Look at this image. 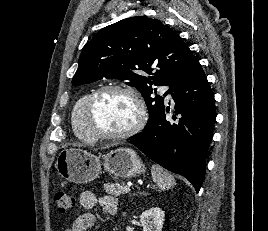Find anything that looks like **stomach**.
I'll list each match as a JSON object with an SVG mask.
<instances>
[{"instance_id": "obj_1", "label": "stomach", "mask_w": 268, "mask_h": 231, "mask_svg": "<svg viewBox=\"0 0 268 231\" xmlns=\"http://www.w3.org/2000/svg\"><path fill=\"white\" fill-rule=\"evenodd\" d=\"M115 178H132L145 172V165L130 148L120 147L111 150L103 157L96 156L80 148L62 150L55 163L58 174L65 180L84 184L95 180L102 168Z\"/></svg>"}]
</instances>
